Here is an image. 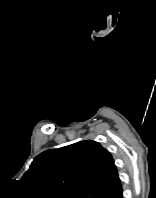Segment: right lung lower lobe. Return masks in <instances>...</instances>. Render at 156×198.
Here are the masks:
<instances>
[{
    "label": "right lung lower lobe",
    "instance_id": "right-lung-lower-lobe-1",
    "mask_svg": "<svg viewBox=\"0 0 156 198\" xmlns=\"http://www.w3.org/2000/svg\"><path fill=\"white\" fill-rule=\"evenodd\" d=\"M122 192H123V190L120 191L114 198H123Z\"/></svg>",
    "mask_w": 156,
    "mask_h": 198
}]
</instances>
